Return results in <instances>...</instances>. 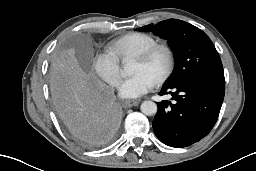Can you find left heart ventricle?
<instances>
[{"label":"left heart ventricle","instance_id":"1","mask_svg":"<svg viewBox=\"0 0 256 171\" xmlns=\"http://www.w3.org/2000/svg\"><path fill=\"white\" fill-rule=\"evenodd\" d=\"M165 65L166 59L163 54L157 55L153 60L148 63H143L135 59L133 73H143L155 82L156 79L162 74Z\"/></svg>","mask_w":256,"mask_h":171}]
</instances>
